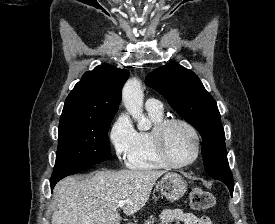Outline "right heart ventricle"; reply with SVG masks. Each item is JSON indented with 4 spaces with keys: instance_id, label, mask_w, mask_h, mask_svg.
Here are the masks:
<instances>
[{
    "instance_id": "right-heart-ventricle-1",
    "label": "right heart ventricle",
    "mask_w": 275,
    "mask_h": 224,
    "mask_svg": "<svg viewBox=\"0 0 275 224\" xmlns=\"http://www.w3.org/2000/svg\"><path fill=\"white\" fill-rule=\"evenodd\" d=\"M154 126L164 119L163 111L147 110ZM151 131L136 132L135 146L127 158V165L135 170L166 168L156 157L150 141Z\"/></svg>"
}]
</instances>
